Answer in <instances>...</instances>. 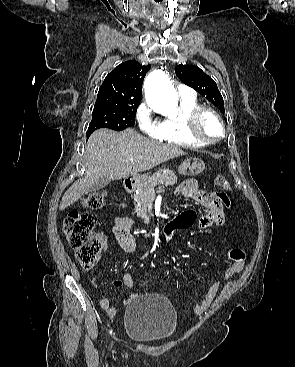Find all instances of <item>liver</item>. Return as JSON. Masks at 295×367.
I'll return each mask as SVG.
<instances>
[{"instance_id":"obj_1","label":"liver","mask_w":295,"mask_h":367,"mask_svg":"<svg viewBox=\"0 0 295 367\" xmlns=\"http://www.w3.org/2000/svg\"><path fill=\"white\" fill-rule=\"evenodd\" d=\"M186 153L178 146L150 140L134 129L117 133L107 128L96 130L89 138L85 154V176L64 193L60 210L75 203L100 178L125 179L149 170Z\"/></svg>"}]
</instances>
